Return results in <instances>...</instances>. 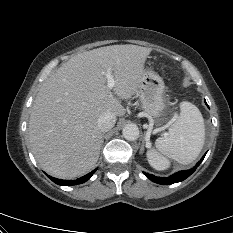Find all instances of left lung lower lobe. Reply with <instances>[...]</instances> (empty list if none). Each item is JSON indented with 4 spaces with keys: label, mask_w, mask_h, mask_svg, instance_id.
<instances>
[{
    "label": "left lung lower lobe",
    "mask_w": 233,
    "mask_h": 233,
    "mask_svg": "<svg viewBox=\"0 0 233 233\" xmlns=\"http://www.w3.org/2000/svg\"><path fill=\"white\" fill-rule=\"evenodd\" d=\"M206 103V101H205ZM207 104V103H206ZM208 106V105H207ZM206 155V154H205ZM205 155L202 157V159L196 164L195 167L188 171H179L169 177H156L152 174H146L144 173L150 180H152L155 183L162 184V185H169L177 182H181L185 180L187 177H189L195 170L196 168L200 165L202 160L204 159Z\"/></svg>",
    "instance_id": "0a47b994"
}]
</instances>
